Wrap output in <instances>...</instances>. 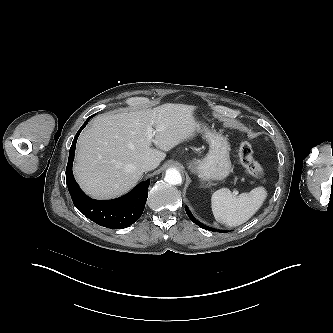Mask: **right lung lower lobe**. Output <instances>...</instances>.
I'll list each match as a JSON object with an SVG mask.
<instances>
[{
  "mask_svg": "<svg viewBox=\"0 0 333 333\" xmlns=\"http://www.w3.org/2000/svg\"><path fill=\"white\" fill-rule=\"evenodd\" d=\"M91 117L93 115L88 117L81 126L70 148L66 168L68 190L75 207L87 218L103 227L122 229L135 223L142 215L148 197L150 180L141 182L128 194L113 200H94L84 194L74 179L72 165L77 138Z\"/></svg>",
  "mask_w": 333,
  "mask_h": 333,
  "instance_id": "obj_1",
  "label": "right lung lower lobe"
}]
</instances>
